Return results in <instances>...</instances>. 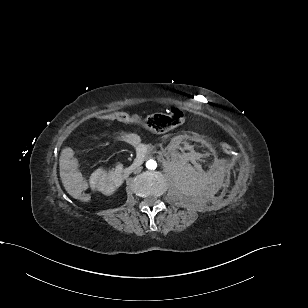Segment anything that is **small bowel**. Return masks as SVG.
<instances>
[{"label": "small bowel", "instance_id": "1", "mask_svg": "<svg viewBox=\"0 0 308 308\" xmlns=\"http://www.w3.org/2000/svg\"><path fill=\"white\" fill-rule=\"evenodd\" d=\"M118 139L130 146L139 148L142 145L140 136L135 132H122ZM60 166L66 179L69 181L70 192L75 195L82 191H94L103 194L112 193L120 184V165L110 169H97L88 179L81 173L78 161L71 149L62 150L60 155Z\"/></svg>", "mask_w": 308, "mask_h": 308}]
</instances>
